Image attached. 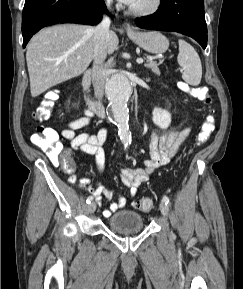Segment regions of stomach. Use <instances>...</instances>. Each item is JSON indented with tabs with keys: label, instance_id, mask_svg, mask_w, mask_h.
Here are the masks:
<instances>
[{
	"label": "stomach",
	"instance_id": "obj_1",
	"mask_svg": "<svg viewBox=\"0 0 243 289\" xmlns=\"http://www.w3.org/2000/svg\"><path fill=\"white\" fill-rule=\"evenodd\" d=\"M128 37L145 51L152 54L164 53L169 47V40L157 31H137L128 33Z\"/></svg>",
	"mask_w": 243,
	"mask_h": 289
}]
</instances>
